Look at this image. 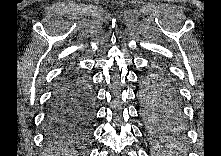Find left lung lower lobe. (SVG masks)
<instances>
[{"instance_id":"left-lung-lower-lobe-1","label":"left lung lower lobe","mask_w":221,"mask_h":156,"mask_svg":"<svg viewBox=\"0 0 221 156\" xmlns=\"http://www.w3.org/2000/svg\"><path fill=\"white\" fill-rule=\"evenodd\" d=\"M139 100L149 138L161 139L184 131L182 99L176 82L163 66H154L141 74Z\"/></svg>"}]
</instances>
